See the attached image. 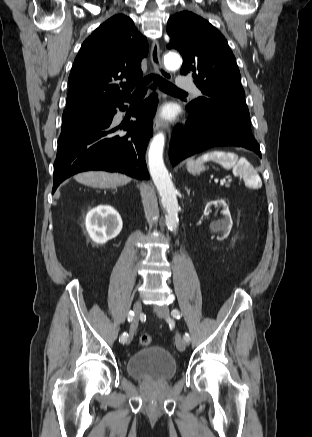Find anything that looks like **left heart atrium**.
<instances>
[{"instance_id":"left-heart-atrium-1","label":"left heart atrium","mask_w":312,"mask_h":437,"mask_svg":"<svg viewBox=\"0 0 312 437\" xmlns=\"http://www.w3.org/2000/svg\"><path fill=\"white\" fill-rule=\"evenodd\" d=\"M163 116L166 117V118H171V117L173 116V112H172V110L169 109V108H166V109L163 111Z\"/></svg>"}]
</instances>
